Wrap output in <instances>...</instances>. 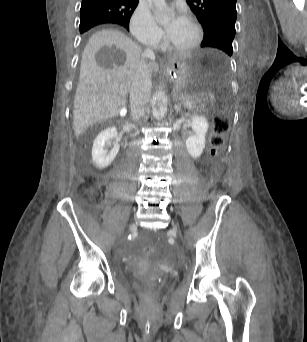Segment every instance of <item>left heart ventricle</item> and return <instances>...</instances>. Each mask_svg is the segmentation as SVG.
Instances as JSON below:
<instances>
[{
    "label": "left heart ventricle",
    "mask_w": 307,
    "mask_h": 342,
    "mask_svg": "<svg viewBox=\"0 0 307 342\" xmlns=\"http://www.w3.org/2000/svg\"><path fill=\"white\" fill-rule=\"evenodd\" d=\"M194 39V32L189 24L185 23L184 27L180 31V33L176 36L175 39L168 42V46L171 49H183L187 47L192 40Z\"/></svg>",
    "instance_id": "obj_1"
}]
</instances>
